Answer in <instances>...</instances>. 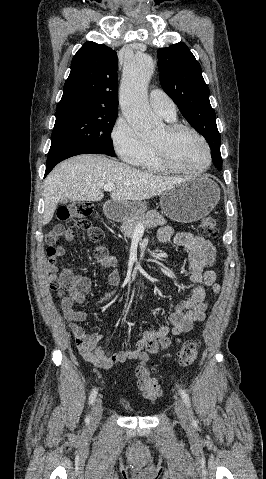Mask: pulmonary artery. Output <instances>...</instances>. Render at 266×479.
<instances>
[{
	"instance_id": "e3ab8cb5",
	"label": "pulmonary artery",
	"mask_w": 266,
	"mask_h": 479,
	"mask_svg": "<svg viewBox=\"0 0 266 479\" xmlns=\"http://www.w3.org/2000/svg\"><path fill=\"white\" fill-rule=\"evenodd\" d=\"M149 103L152 109L166 120L176 119V106L172 99L162 90H151L149 93Z\"/></svg>"
}]
</instances>
